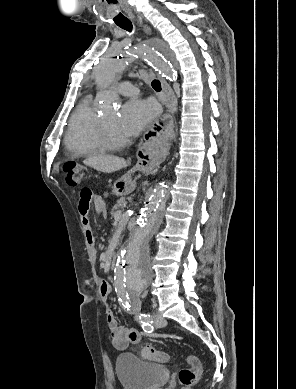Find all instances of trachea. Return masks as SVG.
<instances>
[{"instance_id":"trachea-1","label":"trachea","mask_w":296,"mask_h":389,"mask_svg":"<svg viewBox=\"0 0 296 389\" xmlns=\"http://www.w3.org/2000/svg\"><path fill=\"white\" fill-rule=\"evenodd\" d=\"M119 27H121L122 29H125L129 32L132 31V23L129 22V23H125V24H121L119 25ZM151 86L153 87V89L157 92L161 91V83L159 80H153L151 82Z\"/></svg>"}]
</instances>
